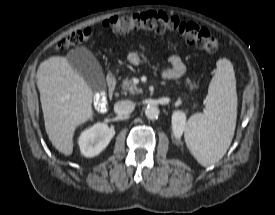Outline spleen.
Masks as SVG:
<instances>
[{
    "instance_id": "spleen-1",
    "label": "spleen",
    "mask_w": 275,
    "mask_h": 215,
    "mask_svg": "<svg viewBox=\"0 0 275 215\" xmlns=\"http://www.w3.org/2000/svg\"><path fill=\"white\" fill-rule=\"evenodd\" d=\"M206 100L205 112L191 116L185 130L187 147L204 167L218 162L225 155L234 136L236 79L228 59L217 61Z\"/></svg>"
}]
</instances>
